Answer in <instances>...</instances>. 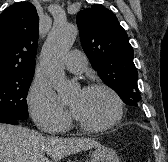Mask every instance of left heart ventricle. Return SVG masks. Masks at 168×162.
Segmentation results:
<instances>
[{
  "mask_svg": "<svg viewBox=\"0 0 168 162\" xmlns=\"http://www.w3.org/2000/svg\"><path fill=\"white\" fill-rule=\"evenodd\" d=\"M74 114L90 125H101L109 121L115 113L111 96L102 90L78 91L70 99Z\"/></svg>",
  "mask_w": 168,
  "mask_h": 162,
  "instance_id": "left-heart-ventricle-1",
  "label": "left heart ventricle"
}]
</instances>
